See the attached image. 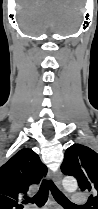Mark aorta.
<instances>
[{"label": "aorta", "instance_id": "1", "mask_svg": "<svg viewBox=\"0 0 98 209\" xmlns=\"http://www.w3.org/2000/svg\"><path fill=\"white\" fill-rule=\"evenodd\" d=\"M62 185L67 192H75L78 188L77 181L73 177H65L62 181Z\"/></svg>", "mask_w": 98, "mask_h": 209}]
</instances>
